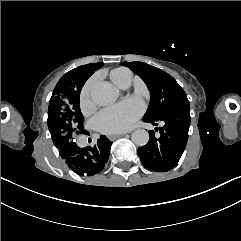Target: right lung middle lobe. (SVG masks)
Masks as SVG:
<instances>
[{"label": "right lung middle lobe", "instance_id": "1", "mask_svg": "<svg viewBox=\"0 0 241 241\" xmlns=\"http://www.w3.org/2000/svg\"><path fill=\"white\" fill-rule=\"evenodd\" d=\"M103 63L79 66L67 72L57 83L49 101L48 128L54 145L59 149L74 144L79 134H88L83 128L79 95L85 81Z\"/></svg>", "mask_w": 241, "mask_h": 241}]
</instances>
